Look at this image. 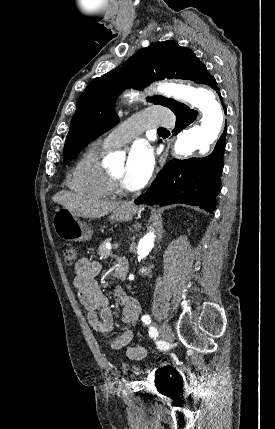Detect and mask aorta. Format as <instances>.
Instances as JSON below:
<instances>
[{"label":"aorta","instance_id":"762f6f07","mask_svg":"<svg viewBox=\"0 0 275 429\" xmlns=\"http://www.w3.org/2000/svg\"><path fill=\"white\" fill-rule=\"evenodd\" d=\"M157 91L167 97L189 103L202 113L198 125L184 130L177 136L174 151L179 156H189L196 150L205 154L210 144L218 137L225 122V110L214 90L208 86L197 87L174 83H164L157 87ZM136 93L127 95L129 101L136 97ZM113 159V157H112ZM156 235L153 231L145 234L138 243L137 257L145 259L154 247Z\"/></svg>","mask_w":275,"mask_h":429}]
</instances>
